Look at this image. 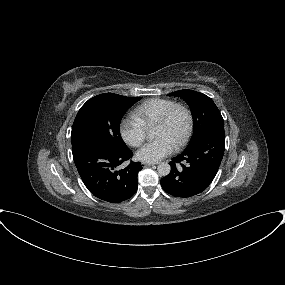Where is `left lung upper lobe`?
I'll return each mask as SVG.
<instances>
[{"mask_svg":"<svg viewBox=\"0 0 285 285\" xmlns=\"http://www.w3.org/2000/svg\"><path fill=\"white\" fill-rule=\"evenodd\" d=\"M183 98L189 105L193 116V135L188 146L193 145L208 130L224 126L223 118L215 103L205 94L184 89L168 94Z\"/></svg>","mask_w":285,"mask_h":285,"instance_id":"1","label":"left lung upper lobe"}]
</instances>
